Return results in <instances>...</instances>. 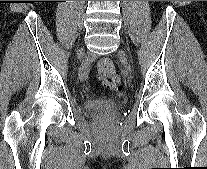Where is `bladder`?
Instances as JSON below:
<instances>
[{"instance_id": "obj_1", "label": "bladder", "mask_w": 207, "mask_h": 169, "mask_svg": "<svg viewBox=\"0 0 207 169\" xmlns=\"http://www.w3.org/2000/svg\"><path fill=\"white\" fill-rule=\"evenodd\" d=\"M84 107L88 111L113 110L120 107V102L110 98L108 99L90 98L84 102Z\"/></svg>"}]
</instances>
